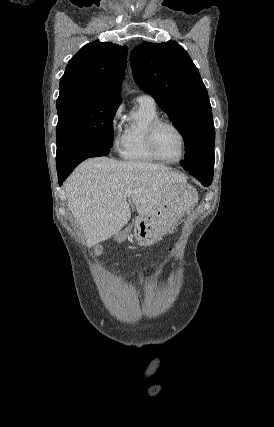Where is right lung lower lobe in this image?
<instances>
[{
  "label": "right lung lower lobe",
  "instance_id": "right-lung-lower-lobe-1",
  "mask_svg": "<svg viewBox=\"0 0 274 427\" xmlns=\"http://www.w3.org/2000/svg\"><path fill=\"white\" fill-rule=\"evenodd\" d=\"M109 152H110V148L95 150L90 154H88L87 156L82 157L81 159L77 160L76 162L70 165L57 167L59 185L61 186L65 181V179L69 176V174L74 170V168L85 159L91 158V157H97V156H105Z\"/></svg>",
  "mask_w": 274,
  "mask_h": 427
}]
</instances>
